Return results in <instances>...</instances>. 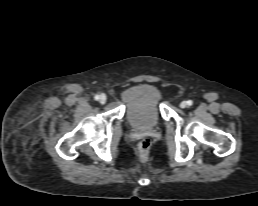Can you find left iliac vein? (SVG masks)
<instances>
[{"instance_id":"4c4485c4","label":"left iliac vein","mask_w":258,"mask_h":206,"mask_svg":"<svg viewBox=\"0 0 258 206\" xmlns=\"http://www.w3.org/2000/svg\"><path fill=\"white\" fill-rule=\"evenodd\" d=\"M187 105H188V103H187L186 101H182V102L180 103V107H181V108H186Z\"/></svg>"}]
</instances>
